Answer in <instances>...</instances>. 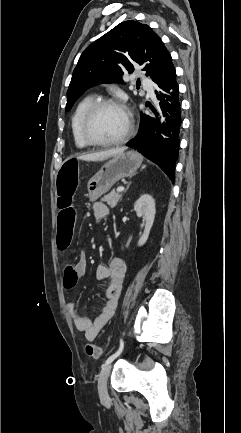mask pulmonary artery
Here are the masks:
<instances>
[{
  "label": "pulmonary artery",
  "mask_w": 241,
  "mask_h": 433,
  "mask_svg": "<svg viewBox=\"0 0 241 433\" xmlns=\"http://www.w3.org/2000/svg\"><path fill=\"white\" fill-rule=\"evenodd\" d=\"M142 82H147L148 80L145 77H141ZM151 92V89H148Z\"/></svg>",
  "instance_id": "1"
}]
</instances>
